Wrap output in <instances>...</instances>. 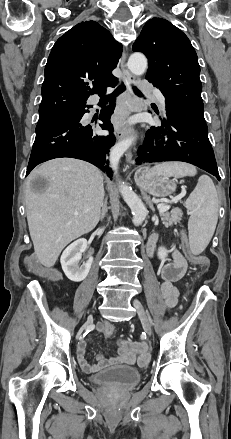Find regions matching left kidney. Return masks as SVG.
Listing matches in <instances>:
<instances>
[{"label": "left kidney", "instance_id": "1", "mask_svg": "<svg viewBox=\"0 0 231 439\" xmlns=\"http://www.w3.org/2000/svg\"><path fill=\"white\" fill-rule=\"evenodd\" d=\"M158 257H159V259L162 261V262H164L165 260H166V257H167V255H168V251L166 250V248L165 247H160L159 249H158Z\"/></svg>", "mask_w": 231, "mask_h": 439}]
</instances>
